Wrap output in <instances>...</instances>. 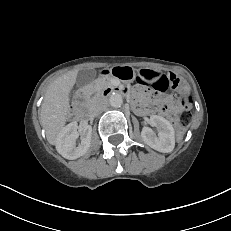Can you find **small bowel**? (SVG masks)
Segmentation results:
<instances>
[{"label": "small bowel", "instance_id": "1", "mask_svg": "<svg viewBox=\"0 0 231 231\" xmlns=\"http://www.w3.org/2000/svg\"><path fill=\"white\" fill-rule=\"evenodd\" d=\"M138 81L141 84L152 86L153 89L158 92H164L172 86L173 76L172 74L169 75L165 73H155L152 76L147 77L145 76L144 72H141V74L138 76ZM165 101L167 102V104L169 105V108L172 111L178 110V106L173 99L166 98ZM143 111L152 112L153 110L146 108Z\"/></svg>", "mask_w": 231, "mask_h": 231}]
</instances>
